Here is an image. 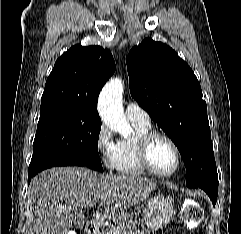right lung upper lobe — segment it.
I'll use <instances>...</instances> for the list:
<instances>
[{
	"label": "right lung upper lobe",
	"instance_id": "obj_1",
	"mask_svg": "<svg viewBox=\"0 0 241 234\" xmlns=\"http://www.w3.org/2000/svg\"><path fill=\"white\" fill-rule=\"evenodd\" d=\"M115 68L113 56L107 49L71 47L57 59L46 81L40 108L66 106L100 118L97 98Z\"/></svg>",
	"mask_w": 241,
	"mask_h": 234
}]
</instances>
